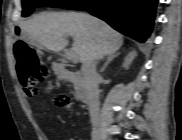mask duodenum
<instances>
[{
    "mask_svg": "<svg viewBox=\"0 0 182 140\" xmlns=\"http://www.w3.org/2000/svg\"><path fill=\"white\" fill-rule=\"evenodd\" d=\"M74 78L78 82V86L76 88V97L82 103H87L90 99L89 91L85 86L83 77L80 73H75Z\"/></svg>",
    "mask_w": 182,
    "mask_h": 140,
    "instance_id": "410a0bca",
    "label": "duodenum"
}]
</instances>
